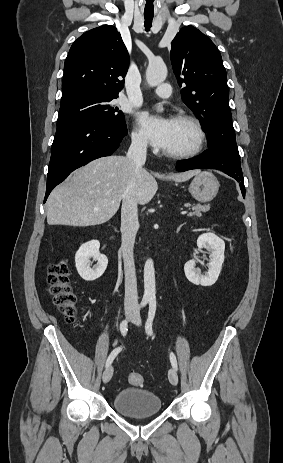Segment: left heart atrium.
<instances>
[{"label": "left heart atrium", "mask_w": 283, "mask_h": 463, "mask_svg": "<svg viewBox=\"0 0 283 463\" xmlns=\"http://www.w3.org/2000/svg\"><path fill=\"white\" fill-rule=\"evenodd\" d=\"M140 124L144 135L154 147L164 150L168 146L173 120L143 113L140 117Z\"/></svg>", "instance_id": "1"}]
</instances>
